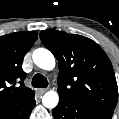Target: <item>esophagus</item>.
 <instances>
[{"label": "esophagus", "instance_id": "34e87169", "mask_svg": "<svg viewBox=\"0 0 119 119\" xmlns=\"http://www.w3.org/2000/svg\"><path fill=\"white\" fill-rule=\"evenodd\" d=\"M45 91H46L45 88H40V89L37 90L38 94H40V95L44 94Z\"/></svg>", "mask_w": 119, "mask_h": 119}]
</instances>
